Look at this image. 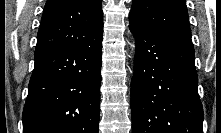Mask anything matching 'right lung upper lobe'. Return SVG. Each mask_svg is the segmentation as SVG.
I'll return each mask as SVG.
<instances>
[{"label": "right lung upper lobe", "instance_id": "1", "mask_svg": "<svg viewBox=\"0 0 221 133\" xmlns=\"http://www.w3.org/2000/svg\"><path fill=\"white\" fill-rule=\"evenodd\" d=\"M102 30L101 0H47L35 53L79 46Z\"/></svg>", "mask_w": 221, "mask_h": 133}]
</instances>
